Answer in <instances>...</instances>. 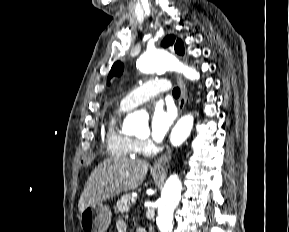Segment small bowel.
I'll list each match as a JSON object with an SVG mask.
<instances>
[{
  "mask_svg": "<svg viewBox=\"0 0 289 232\" xmlns=\"http://www.w3.org/2000/svg\"><path fill=\"white\" fill-rule=\"evenodd\" d=\"M116 230L117 232H128L126 223L122 220H118L116 222Z\"/></svg>",
  "mask_w": 289,
  "mask_h": 232,
  "instance_id": "small-bowel-1",
  "label": "small bowel"
}]
</instances>
